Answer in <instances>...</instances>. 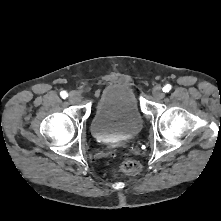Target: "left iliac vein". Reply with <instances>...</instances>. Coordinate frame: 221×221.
I'll use <instances>...</instances> for the list:
<instances>
[{
    "instance_id": "obj_1",
    "label": "left iliac vein",
    "mask_w": 221,
    "mask_h": 221,
    "mask_svg": "<svg viewBox=\"0 0 221 221\" xmlns=\"http://www.w3.org/2000/svg\"><path fill=\"white\" fill-rule=\"evenodd\" d=\"M152 93L153 96L157 99H162L164 97V92L160 86L154 87Z\"/></svg>"
}]
</instances>
